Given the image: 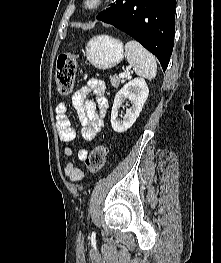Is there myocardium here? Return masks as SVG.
<instances>
[{
	"instance_id": "obj_1",
	"label": "myocardium",
	"mask_w": 221,
	"mask_h": 263,
	"mask_svg": "<svg viewBox=\"0 0 221 263\" xmlns=\"http://www.w3.org/2000/svg\"><path fill=\"white\" fill-rule=\"evenodd\" d=\"M107 0H83L82 6L86 11L94 12L101 9Z\"/></svg>"
}]
</instances>
